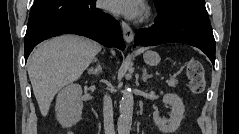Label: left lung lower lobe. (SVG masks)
<instances>
[{"mask_svg": "<svg viewBox=\"0 0 239 134\" xmlns=\"http://www.w3.org/2000/svg\"><path fill=\"white\" fill-rule=\"evenodd\" d=\"M135 45L185 43L201 49L215 63V39L205 0H178L159 13L155 24L137 32Z\"/></svg>", "mask_w": 239, "mask_h": 134, "instance_id": "obj_1", "label": "left lung lower lobe"}]
</instances>
